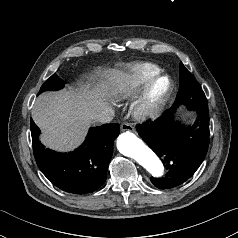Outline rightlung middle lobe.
Listing matches in <instances>:
<instances>
[{"label": "right lung middle lobe", "mask_w": 238, "mask_h": 238, "mask_svg": "<svg viewBox=\"0 0 238 238\" xmlns=\"http://www.w3.org/2000/svg\"><path fill=\"white\" fill-rule=\"evenodd\" d=\"M64 86V82L59 79L56 75H52L49 79H47L42 85L39 94L44 91H54L62 88Z\"/></svg>", "instance_id": "obj_1"}]
</instances>
